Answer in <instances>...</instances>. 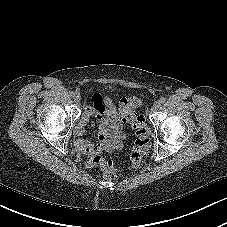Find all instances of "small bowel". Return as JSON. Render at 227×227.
<instances>
[{"label": "small bowel", "instance_id": "obj_1", "mask_svg": "<svg viewBox=\"0 0 227 227\" xmlns=\"http://www.w3.org/2000/svg\"><path fill=\"white\" fill-rule=\"evenodd\" d=\"M121 102L100 93H93L92 105L86 107L81 120L75 128L76 149L84 155H93L102 151L108 142L110 133L118 135L121 132ZM98 121L97 142L92 143L83 138L87 126L92 123V119Z\"/></svg>", "mask_w": 227, "mask_h": 227}]
</instances>
